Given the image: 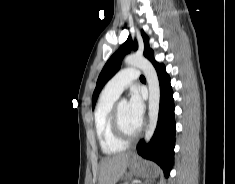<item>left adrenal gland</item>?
I'll return each instance as SVG.
<instances>
[{
  "instance_id": "a2214340",
  "label": "left adrenal gland",
  "mask_w": 235,
  "mask_h": 184,
  "mask_svg": "<svg viewBox=\"0 0 235 184\" xmlns=\"http://www.w3.org/2000/svg\"><path fill=\"white\" fill-rule=\"evenodd\" d=\"M145 184H151V182H149V180H147V182H145Z\"/></svg>"
}]
</instances>
